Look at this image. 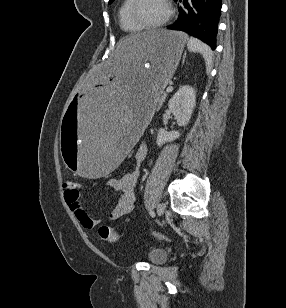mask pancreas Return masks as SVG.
Returning <instances> with one entry per match:
<instances>
[{"mask_svg":"<svg viewBox=\"0 0 286 308\" xmlns=\"http://www.w3.org/2000/svg\"><path fill=\"white\" fill-rule=\"evenodd\" d=\"M164 99H165V94L160 96V98L158 99V101L156 102L154 107H157V109H159L160 106L162 105V102L164 101Z\"/></svg>","mask_w":286,"mask_h":308,"instance_id":"pancreas-1","label":"pancreas"}]
</instances>
